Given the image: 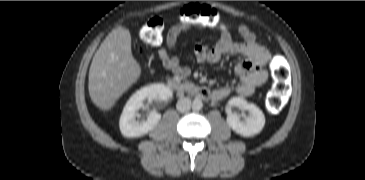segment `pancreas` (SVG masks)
<instances>
[{
  "instance_id": "cf45deb5",
  "label": "pancreas",
  "mask_w": 365,
  "mask_h": 180,
  "mask_svg": "<svg viewBox=\"0 0 365 180\" xmlns=\"http://www.w3.org/2000/svg\"><path fill=\"white\" fill-rule=\"evenodd\" d=\"M191 87H193V85L192 84H190V83H188V82H186L185 84H184V88L185 89H190Z\"/></svg>"
}]
</instances>
